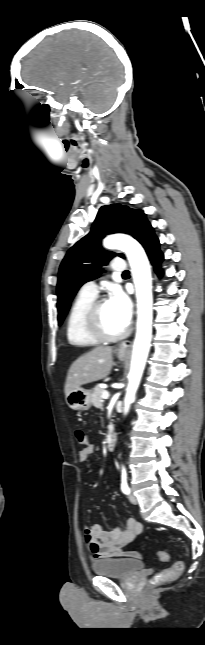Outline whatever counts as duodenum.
Returning <instances> with one entry per match:
<instances>
[{
    "mask_svg": "<svg viewBox=\"0 0 205 645\" xmlns=\"http://www.w3.org/2000/svg\"><path fill=\"white\" fill-rule=\"evenodd\" d=\"M115 443H116V435L115 433L112 432L108 435L106 440L107 450L112 451L115 448Z\"/></svg>",
    "mask_w": 205,
    "mask_h": 645,
    "instance_id": "1",
    "label": "duodenum"
}]
</instances>
